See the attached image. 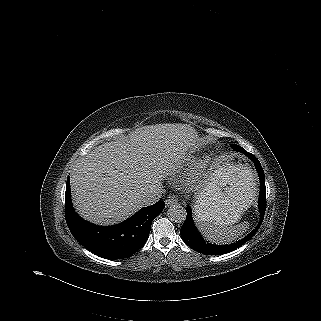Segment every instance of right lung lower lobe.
I'll return each instance as SVG.
<instances>
[{
  "label": "right lung lower lobe",
  "instance_id": "1",
  "mask_svg": "<svg viewBox=\"0 0 321 321\" xmlns=\"http://www.w3.org/2000/svg\"><path fill=\"white\" fill-rule=\"evenodd\" d=\"M165 208L164 201L144 207L127 220L113 226H97L80 218L71 206L67 178L65 216L74 238L85 248L105 259H123L137 252L147 241L152 221Z\"/></svg>",
  "mask_w": 321,
  "mask_h": 321
}]
</instances>
